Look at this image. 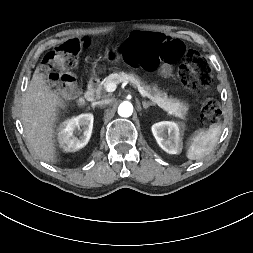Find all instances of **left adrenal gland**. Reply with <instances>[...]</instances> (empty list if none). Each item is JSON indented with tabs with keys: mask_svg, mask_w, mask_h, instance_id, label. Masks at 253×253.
Listing matches in <instances>:
<instances>
[{
	"mask_svg": "<svg viewBox=\"0 0 253 253\" xmlns=\"http://www.w3.org/2000/svg\"><path fill=\"white\" fill-rule=\"evenodd\" d=\"M142 105L144 109H148L150 106H154V103L142 101Z\"/></svg>",
	"mask_w": 253,
	"mask_h": 253,
	"instance_id": "1",
	"label": "left adrenal gland"
}]
</instances>
